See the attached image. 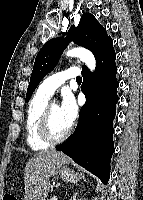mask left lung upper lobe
Segmentation results:
<instances>
[{
    "mask_svg": "<svg viewBox=\"0 0 143 200\" xmlns=\"http://www.w3.org/2000/svg\"><path fill=\"white\" fill-rule=\"evenodd\" d=\"M110 40H112L111 37L107 36L105 28L99 24L96 18L90 13H84L81 16L78 26L75 27L72 25L70 27L66 38L59 37L51 39L38 52L25 101L27 102L29 100L44 76L54 69L70 41H74L75 44L88 48L96 57L97 53Z\"/></svg>",
    "mask_w": 143,
    "mask_h": 200,
    "instance_id": "5c2ea615",
    "label": "left lung upper lobe"
}]
</instances>
